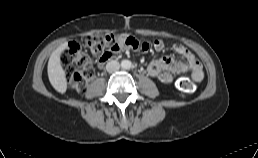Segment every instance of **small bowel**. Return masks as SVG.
I'll use <instances>...</instances> for the list:
<instances>
[{"mask_svg":"<svg viewBox=\"0 0 258 158\" xmlns=\"http://www.w3.org/2000/svg\"><path fill=\"white\" fill-rule=\"evenodd\" d=\"M164 47L165 45L162 40H156L153 43L148 41L138 43V46L132 49L141 53H149L152 50L162 52ZM126 49L128 48L122 50ZM174 50L185 59V62H178L174 58L168 56L155 59L151 61L147 67V72L149 75L156 77L163 84H170L174 81L175 75L191 72V76L195 81H201L204 73L202 66L196 57L181 44H175ZM110 58L105 60L99 59V65L103 64Z\"/></svg>","mask_w":258,"mask_h":158,"instance_id":"obj_1","label":"small bowel"}]
</instances>
